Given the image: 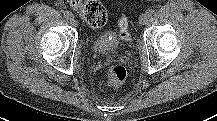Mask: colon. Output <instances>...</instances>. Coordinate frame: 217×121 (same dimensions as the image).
Segmentation results:
<instances>
[{
    "label": "colon",
    "instance_id": "colon-1",
    "mask_svg": "<svg viewBox=\"0 0 217 121\" xmlns=\"http://www.w3.org/2000/svg\"><path fill=\"white\" fill-rule=\"evenodd\" d=\"M71 5L80 13L82 19L91 27L100 28L106 24L107 10L101 0H71ZM119 37L124 41L131 39L127 17L118 19ZM127 77V70L122 64H114L107 71V82L111 87H118Z\"/></svg>",
    "mask_w": 217,
    "mask_h": 121
}]
</instances>
